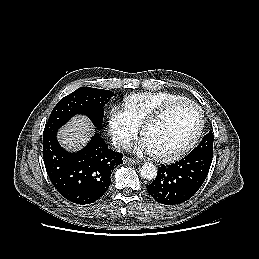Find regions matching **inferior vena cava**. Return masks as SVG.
<instances>
[{
  "instance_id": "inferior-vena-cava-1",
  "label": "inferior vena cava",
  "mask_w": 259,
  "mask_h": 259,
  "mask_svg": "<svg viewBox=\"0 0 259 259\" xmlns=\"http://www.w3.org/2000/svg\"><path fill=\"white\" fill-rule=\"evenodd\" d=\"M114 146L118 149L122 148V149H125V148H128L129 146V141L126 140V139H119V140H116L114 142Z\"/></svg>"
}]
</instances>
